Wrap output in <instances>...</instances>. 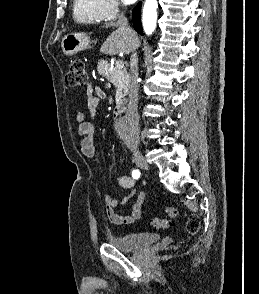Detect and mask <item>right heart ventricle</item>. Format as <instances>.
I'll return each mask as SVG.
<instances>
[{"label":"right heart ventricle","mask_w":259,"mask_h":294,"mask_svg":"<svg viewBox=\"0 0 259 294\" xmlns=\"http://www.w3.org/2000/svg\"><path fill=\"white\" fill-rule=\"evenodd\" d=\"M73 16L81 23H99L105 19L99 0H74Z\"/></svg>","instance_id":"obj_1"}]
</instances>
